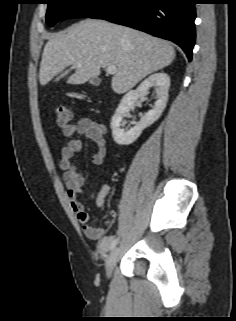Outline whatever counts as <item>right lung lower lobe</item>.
Here are the masks:
<instances>
[{
  "instance_id": "right-lung-lower-lobe-1",
  "label": "right lung lower lobe",
  "mask_w": 236,
  "mask_h": 321,
  "mask_svg": "<svg viewBox=\"0 0 236 321\" xmlns=\"http://www.w3.org/2000/svg\"><path fill=\"white\" fill-rule=\"evenodd\" d=\"M196 0H111L88 16L129 26L179 45L192 59Z\"/></svg>"
}]
</instances>
